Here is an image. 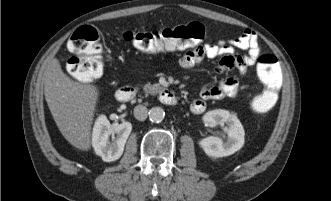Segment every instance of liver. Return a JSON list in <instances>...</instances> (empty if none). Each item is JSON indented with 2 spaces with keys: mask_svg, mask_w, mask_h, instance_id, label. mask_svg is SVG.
<instances>
[{
  "mask_svg": "<svg viewBox=\"0 0 331 201\" xmlns=\"http://www.w3.org/2000/svg\"><path fill=\"white\" fill-rule=\"evenodd\" d=\"M43 79L45 99L59 131L72 146L90 150L97 88L73 81L56 58L45 65Z\"/></svg>",
  "mask_w": 331,
  "mask_h": 201,
  "instance_id": "6515ba94",
  "label": "liver"
}]
</instances>
